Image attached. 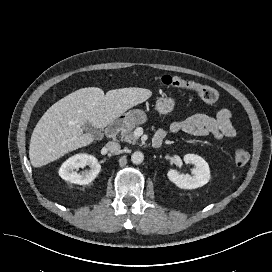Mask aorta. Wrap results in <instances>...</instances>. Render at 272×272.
Instances as JSON below:
<instances>
[{
  "mask_svg": "<svg viewBox=\"0 0 272 272\" xmlns=\"http://www.w3.org/2000/svg\"><path fill=\"white\" fill-rule=\"evenodd\" d=\"M144 160V155L140 151H136L131 155V161L133 164H141Z\"/></svg>",
  "mask_w": 272,
  "mask_h": 272,
  "instance_id": "aorta-1",
  "label": "aorta"
}]
</instances>
